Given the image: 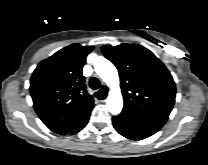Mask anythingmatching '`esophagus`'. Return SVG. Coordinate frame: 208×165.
<instances>
[{"mask_svg": "<svg viewBox=\"0 0 208 165\" xmlns=\"http://www.w3.org/2000/svg\"><path fill=\"white\" fill-rule=\"evenodd\" d=\"M104 88L108 89L106 86H103ZM106 101V98L101 100L100 102H105Z\"/></svg>", "mask_w": 208, "mask_h": 165, "instance_id": "obj_1", "label": "esophagus"}]
</instances>
